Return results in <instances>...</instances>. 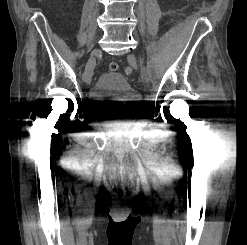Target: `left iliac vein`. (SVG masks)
Listing matches in <instances>:
<instances>
[{
	"label": "left iliac vein",
	"mask_w": 247,
	"mask_h": 245,
	"mask_svg": "<svg viewBox=\"0 0 247 245\" xmlns=\"http://www.w3.org/2000/svg\"><path fill=\"white\" fill-rule=\"evenodd\" d=\"M128 61H129L130 65H131L133 68H136V67H137V60H136V58H135L133 55H128ZM142 77H143L144 79L147 78L146 72H142Z\"/></svg>",
	"instance_id": "4c4485c4"
}]
</instances>
